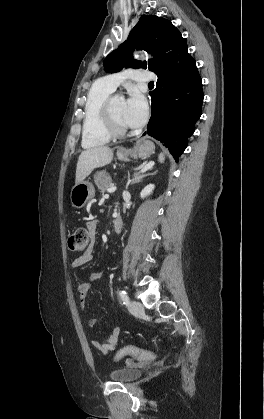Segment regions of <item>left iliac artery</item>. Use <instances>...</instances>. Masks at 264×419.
<instances>
[{"label": "left iliac artery", "mask_w": 264, "mask_h": 419, "mask_svg": "<svg viewBox=\"0 0 264 419\" xmlns=\"http://www.w3.org/2000/svg\"><path fill=\"white\" fill-rule=\"evenodd\" d=\"M119 295L123 301V304L128 305L129 304V297L127 293L124 290L119 291Z\"/></svg>", "instance_id": "44dca946"}]
</instances>
